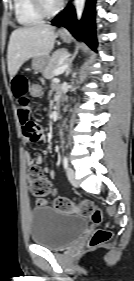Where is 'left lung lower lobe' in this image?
I'll return each mask as SVG.
<instances>
[{"mask_svg": "<svg viewBox=\"0 0 134 281\" xmlns=\"http://www.w3.org/2000/svg\"><path fill=\"white\" fill-rule=\"evenodd\" d=\"M95 0H88L86 10L80 22L76 19L75 10L72 6L65 9V12L53 19L52 25H60L67 28L72 35L87 43L96 50L97 40L95 35L94 21Z\"/></svg>", "mask_w": 134, "mask_h": 281, "instance_id": "left-lung-lower-lobe-1", "label": "left lung lower lobe"}]
</instances>
